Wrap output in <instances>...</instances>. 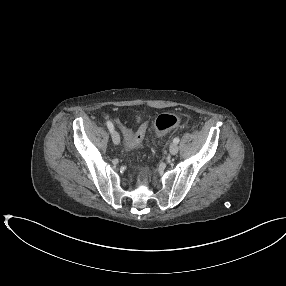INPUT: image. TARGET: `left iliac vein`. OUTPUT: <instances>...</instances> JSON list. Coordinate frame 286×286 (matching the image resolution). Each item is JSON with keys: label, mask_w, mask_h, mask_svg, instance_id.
<instances>
[{"label": "left iliac vein", "mask_w": 286, "mask_h": 286, "mask_svg": "<svg viewBox=\"0 0 286 286\" xmlns=\"http://www.w3.org/2000/svg\"><path fill=\"white\" fill-rule=\"evenodd\" d=\"M169 150H170V153H171L172 155H176V154L178 153V150H179L178 145L175 144V143H172V144L170 145Z\"/></svg>", "instance_id": "1"}]
</instances>
